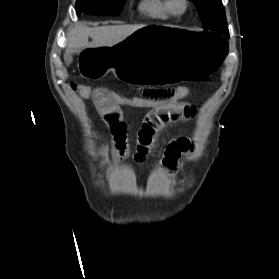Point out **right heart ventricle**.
<instances>
[{
  "instance_id": "e07e8e85",
  "label": "right heart ventricle",
  "mask_w": 279,
  "mask_h": 279,
  "mask_svg": "<svg viewBox=\"0 0 279 279\" xmlns=\"http://www.w3.org/2000/svg\"><path fill=\"white\" fill-rule=\"evenodd\" d=\"M139 6L142 11L156 19L166 20L175 14L172 0H142Z\"/></svg>"
}]
</instances>
